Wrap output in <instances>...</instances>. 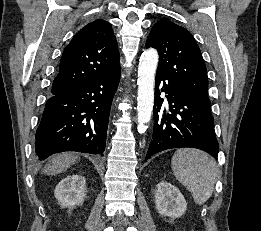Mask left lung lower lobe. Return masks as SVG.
<instances>
[{"mask_svg":"<svg viewBox=\"0 0 261 231\" xmlns=\"http://www.w3.org/2000/svg\"><path fill=\"white\" fill-rule=\"evenodd\" d=\"M161 81L164 82L161 91L168 94L170 113H166L157 88ZM183 147L201 149L217 159L219 146L211 106L189 98L170 78L157 72L154 130L145 160L160 151Z\"/></svg>","mask_w":261,"mask_h":231,"instance_id":"1","label":"left lung lower lobe"}]
</instances>
